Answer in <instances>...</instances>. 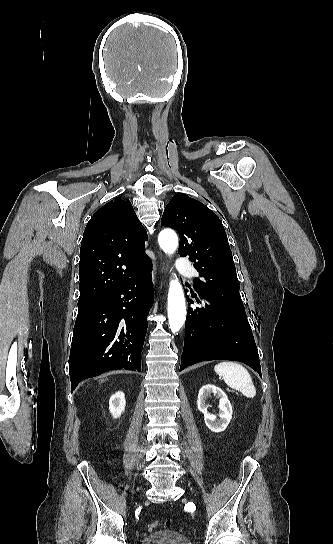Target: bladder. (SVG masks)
Returning <instances> with one entry per match:
<instances>
[{"instance_id": "obj_1", "label": "bladder", "mask_w": 333, "mask_h": 544, "mask_svg": "<svg viewBox=\"0 0 333 544\" xmlns=\"http://www.w3.org/2000/svg\"><path fill=\"white\" fill-rule=\"evenodd\" d=\"M141 544H192L190 539L175 530H163L145 536Z\"/></svg>"}]
</instances>
